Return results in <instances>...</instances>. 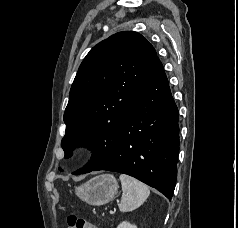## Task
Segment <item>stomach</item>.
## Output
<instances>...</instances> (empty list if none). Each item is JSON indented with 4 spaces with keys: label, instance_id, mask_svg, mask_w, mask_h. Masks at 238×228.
<instances>
[{
    "label": "stomach",
    "instance_id": "stomach-1",
    "mask_svg": "<svg viewBox=\"0 0 238 228\" xmlns=\"http://www.w3.org/2000/svg\"><path fill=\"white\" fill-rule=\"evenodd\" d=\"M118 182L113 175L96 176L75 188V194L81 200L93 206L109 203L118 192Z\"/></svg>",
    "mask_w": 238,
    "mask_h": 228
}]
</instances>
